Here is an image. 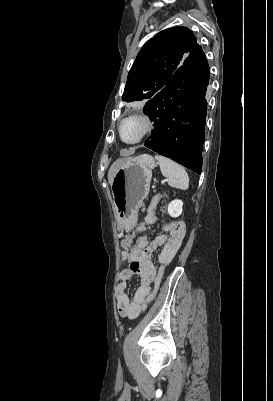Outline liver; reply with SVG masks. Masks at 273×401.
<instances>
[{
	"label": "liver",
	"instance_id": "6515ba94",
	"mask_svg": "<svg viewBox=\"0 0 273 401\" xmlns=\"http://www.w3.org/2000/svg\"><path fill=\"white\" fill-rule=\"evenodd\" d=\"M133 152H135V148H133V150H130V152H128V154H133ZM135 158H138V156H126V158H117V160H115V162H113V164H111V166L108 170L109 184H112L113 178H114L117 170H119L120 166H122V164H125V162H127V160H135Z\"/></svg>",
	"mask_w": 273,
	"mask_h": 401
}]
</instances>
